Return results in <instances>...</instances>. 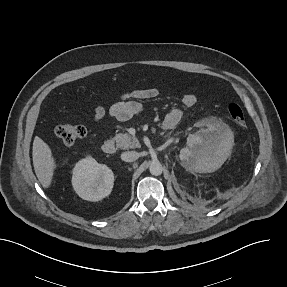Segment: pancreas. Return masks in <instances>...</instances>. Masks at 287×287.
I'll return each instance as SVG.
<instances>
[{
	"label": "pancreas",
	"mask_w": 287,
	"mask_h": 287,
	"mask_svg": "<svg viewBox=\"0 0 287 287\" xmlns=\"http://www.w3.org/2000/svg\"><path fill=\"white\" fill-rule=\"evenodd\" d=\"M114 140L116 141L117 148L120 149H133L140 147L138 139L128 133H119L114 137Z\"/></svg>",
	"instance_id": "obj_1"
}]
</instances>
